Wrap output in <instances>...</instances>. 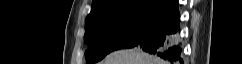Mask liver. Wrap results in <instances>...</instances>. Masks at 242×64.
I'll use <instances>...</instances> for the list:
<instances>
[{
    "label": "liver",
    "instance_id": "liver-1",
    "mask_svg": "<svg viewBox=\"0 0 242 64\" xmlns=\"http://www.w3.org/2000/svg\"><path fill=\"white\" fill-rule=\"evenodd\" d=\"M162 60L139 48L119 50L109 54L100 64H161Z\"/></svg>",
    "mask_w": 242,
    "mask_h": 64
}]
</instances>
